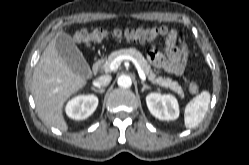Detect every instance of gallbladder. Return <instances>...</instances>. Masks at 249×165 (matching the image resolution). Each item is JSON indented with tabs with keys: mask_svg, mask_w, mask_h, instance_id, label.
<instances>
[{
	"mask_svg": "<svg viewBox=\"0 0 249 165\" xmlns=\"http://www.w3.org/2000/svg\"><path fill=\"white\" fill-rule=\"evenodd\" d=\"M55 47L66 64L78 75L88 76L90 67L72 37L66 33L56 36Z\"/></svg>",
	"mask_w": 249,
	"mask_h": 165,
	"instance_id": "bac80fb5",
	"label": "gallbladder"
}]
</instances>
